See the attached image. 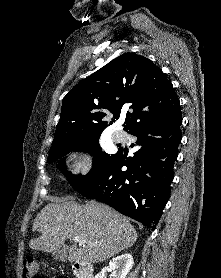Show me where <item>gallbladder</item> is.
I'll return each mask as SVG.
<instances>
[{"label":"gallbladder","instance_id":"gallbladder-1","mask_svg":"<svg viewBox=\"0 0 221 278\" xmlns=\"http://www.w3.org/2000/svg\"><path fill=\"white\" fill-rule=\"evenodd\" d=\"M52 257L56 261H66V249L62 248L61 250H57L53 253Z\"/></svg>","mask_w":221,"mask_h":278}]
</instances>
